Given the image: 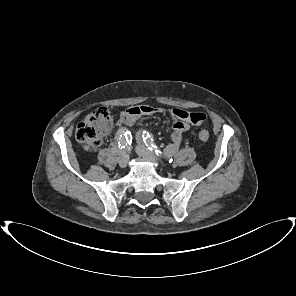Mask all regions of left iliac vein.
<instances>
[{"instance_id":"4c4485c4","label":"left iliac vein","mask_w":296,"mask_h":296,"mask_svg":"<svg viewBox=\"0 0 296 296\" xmlns=\"http://www.w3.org/2000/svg\"><path fill=\"white\" fill-rule=\"evenodd\" d=\"M136 152L140 157L153 163H158V159L143 145L142 142L137 146Z\"/></svg>"}]
</instances>
